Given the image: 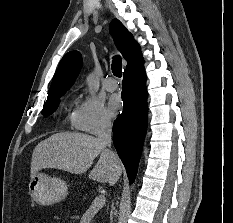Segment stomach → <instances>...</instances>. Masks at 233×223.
<instances>
[{
    "instance_id": "1",
    "label": "stomach",
    "mask_w": 233,
    "mask_h": 223,
    "mask_svg": "<svg viewBox=\"0 0 233 223\" xmlns=\"http://www.w3.org/2000/svg\"><path fill=\"white\" fill-rule=\"evenodd\" d=\"M28 189L33 201L39 205H53L65 199L69 193V187L64 179L53 177L43 171H38L31 177Z\"/></svg>"
}]
</instances>
